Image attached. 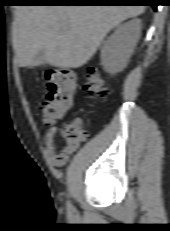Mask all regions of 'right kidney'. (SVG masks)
Returning a JSON list of instances; mask_svg holds the SVG:
<instances>
[{
	"label": "right kidney",
	"instance_id": "right-kidney-1",
	"mask_svg": "<svg viewBox=\"0 0 170 231\" xmlns=\"http://www.w3.org/2000/svg\"><path fill=\"white\" fill-rule=\"evenodd\" d=\"M141 20L133 19L120 26L105 41L101 50V64L109 74L123 70L140 38Z\"/></svg>",
	"mask_w": 170,
	"mask_h": 231
}]
</instances>
